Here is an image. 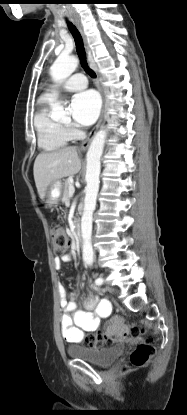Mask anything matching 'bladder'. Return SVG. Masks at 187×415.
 I'll list each match as a JSON object with an SVG mask.
<instances>
[{"label":"bladder","mask_w":187,"mask_h":415,"mask_svg":"<svg viewBox=\"0 0 187 415\" xmlns=\"http://www.w3.org/2000/svg\"><path fill=\"white\" fill-rule=\"evenodd\" d=\"M126 350L124 343H118L106 348L69 346L67 354L71 358L85 360L93 365L107 367L118 360Z\"/></svg>","instance_id":"31cf9c89"}]
</instances>
